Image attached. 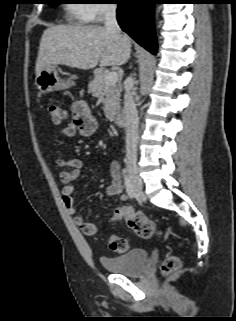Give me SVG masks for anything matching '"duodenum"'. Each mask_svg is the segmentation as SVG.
<instances>
[{
  "label": "duodenum",
  "instance_id": "410a0bca",
  "mask_svg": "<svg viewBox=\"0 0 236 321\" xmlns=\"http://www.w3.org/2000/svg\"><path fill=\"white\" fill-rule=\"evenodd\" d=\"M112 121L117 126H123L124 125V116H123V114L122 113H115L112 116Z\"/></svg>",
  "mask_w": 236,
  "mask_h": 321
}]
</instances>
